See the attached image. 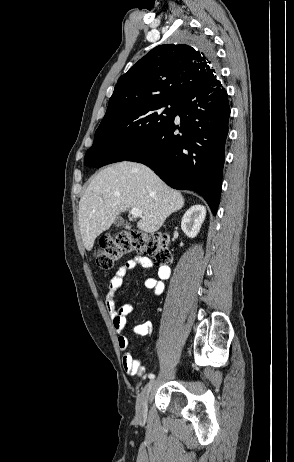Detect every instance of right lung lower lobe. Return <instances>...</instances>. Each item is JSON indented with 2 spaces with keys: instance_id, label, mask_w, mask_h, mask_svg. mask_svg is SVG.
Wrapping results in <instances>:
<instances>
[{
  "instance_id": "obj_1",
  "label": "right lung lower lobe",
  "mask_w": 294,
  "mask_h": 462,
  "mask_svg": "<svg viewBox=\"0 0 294 462\" xmlns=\"http://www.w3.org/2000/svg\"><path fill=\"white\" fill-rule=\"evenodd\" d=\"M230 107L227 92L216 78L182 96L175 115L125 160L150 167L175 189L194 190L217 212L221 194L225 141ZM85 165L102 167V154L85 158Z\"/></svg>"
}]
</instances>
